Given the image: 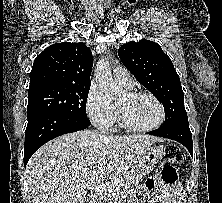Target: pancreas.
Segmentation results:
<instances>
[{
    "label": "pancreas",
    "instance_id": "obj_1",
    "mask_svg": "<svg viewBox=\"0 0 222 203\" xmlns=\"http://www.w3.org/2000/svg\"><path fill=\"white\" fill-rule=\"evenodd\" d=\"M142 180V176H139L134 170L126 171L123 173L118 181H120L123 185H135ZM117 199L116 191L115 192H107L105 191L100 195L99 201L100 203H114Z\"/></svg>",
    "mask_w": 222,
    "mask_h": 203
}]
</instances>
